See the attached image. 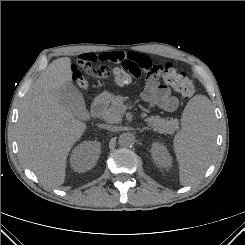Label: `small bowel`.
Listing matches in <instances>:
<instances>
[{
    "mask_svg": "<svg viewBox=\"0 0 245 245\" xmlns=\"http://www.w3.org/2000/svg\"><path fill=\"white\" fill-rule=\"evenodd\" d=\"M97 57L102 62L117 64L124 59H132L140 69V74L136 78L140 77L142 71H147L152 66V61L148 56L135 52H103ZM142 98L149 105H156L165 111H174L179 105L178 99L172 95L168 87L159 85L158 81L150 79L147 81Z\"/></svg>",
    "mask_w": 245,
    "mask_h": 245,
    "instance_id": "c3829d8e",
    "label": "small bowel"
}]
</instances>
